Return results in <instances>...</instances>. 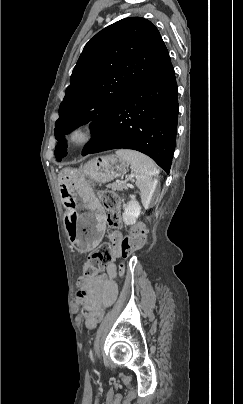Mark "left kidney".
Instances as JSON below:
<instances>
[{
    "label": "left kidney",
    "mask_w": 243,
    "mask_h": 404,
    "mask_svg": "<svg viewBox=\"0 0 243 404\" xmlns=\"http://www.w3.org/2000/svg\"><path fill=\"white\" fill-rule=\"evenodd\" d=\"M130 202L123 204L124 214L123 222L126 226H131V224H136L137 218L140 216L141 206L136 200V196H130Z\"/></svg>",
    "instance_id": "1"
}]
</instances>
